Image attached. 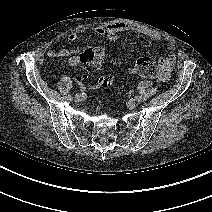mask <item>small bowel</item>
<instances>
[{
	"label": "small bowel",
	"mask_w": 212,
	"mask_h": 212,
	"mask_svg": "<svg viewBox=\"0 0 212 212\" xmlns=\"http://www.w3.org/2000/svg\"><path fill=\"white\" fill-rule=\"evenodd\" d=\"M94 33L98 35L105 36L110 41H116L119 38L120 33L124 31H131L138 34L145 35L153 40L156 41H162L165 42L168 49L173 48V44L159 34L158 32L148 29L139 27L130 23L126 22H115V23H109L106 25H98L94 27L93 29ZM78 35L76 33H72L68 36V40L70 42H75L78 40ZM78 50L74 48H63V49H50L48 51V56L52 58H58V57H68L75 53H77ZM161 75L159 77V80L161 82H166L169 79L170 72L174 66L175 63V57L173 54H169L161 59ZM75 81L81 88H85L87 85H89V77L88 75L81 74L77 75L75 78Z\"/></svg>",
	"instance_id": "obj_1"
}]
</instances>
